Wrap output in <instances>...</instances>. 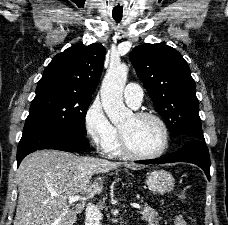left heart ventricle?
I'll return each mask as SVG.
<instances>
[{
    "label": "left heart ventricle",
    "mask_w": 228,
    "mask_h": 225,
    "mask_svg": "<svg viewBox=\"0 0 228 225\" xmlns=\"http://www.w3.org/2000/svg\"><path fill=\"white\" fill-rule=\"evenodd\" d=\"M131 147L141 154L157 153L164 143V132L154 119H138L134 115L121 127Z\"/></svg>",
    "instance_id": "obj_1"
}]
</instances>
